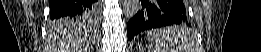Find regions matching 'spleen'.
I'll list each match as a JSON object with an SVG mask.
<instances>
[{
  "mask_svg": "<svg viewBox=\"0 0 261 52\" xmlns=\"http://www.w3.org/2000/svg\"><path fill=\"white\" fill-rule=\"evenodd\" d=\"M191 38L181 26L157 29L149 34L152 52H182Z\"/></svg>",
  "mask_w": 261,
  "mask_h": 52,
  "instance_id": "1",
  "label": "spleen"
}]
</instances>
